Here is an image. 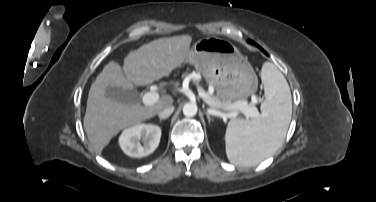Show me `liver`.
I'll return each mask as SVG.
<instances>
[{"label":"liver","mask_w":376,"mask_h":202,"mask_svg":"<svg viewBox=\"0 0 376 202\" xmlns=\"http://www.w3.org/2000/svg\"><path fill=\"white\" fill-rule=\"evenodd\" d=\"M190 35L160 38L130 52L124 68L114 61L104 66L92 83L84 116V129L93 150L100 154L123 128L140 123L172 106L173 98L163 95L152 105L120 103L106 97L108 86L134 89L167 77L187 58Z\"/></svg>","instance_id":"liver-1"}]
</instances>
